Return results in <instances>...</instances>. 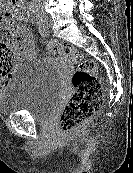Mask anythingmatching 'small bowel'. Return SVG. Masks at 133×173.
<instances>
[{
  "label": "small bowel",
  "instance_id": "c3829d8e",
  "mask_svg": "<svg viewBox=\"0 0 133 173\" xmlns=\"http://www.w3.org/2000/svg\"><path fill=\"white\" fill-rule=\"evenodd\" d=\"M14 48L15 51L23 57H35L37 49L33 34L30 32H22L19 40L15 43Z\"/></svg>",
  "mask_w": 133,
  "mask_h": 173
}]
</instances>
